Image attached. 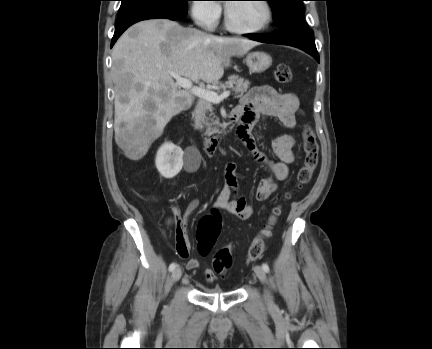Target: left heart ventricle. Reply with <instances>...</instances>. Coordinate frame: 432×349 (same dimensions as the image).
<instances>
[{
  "instance_id": "b2bd125f",
  "label": "left heart ventricle",
  "mask_w": 432,
  "mask_h": 349,
  "mask_svg": "<svg viewBox=\"0 0 432 349\" xmlns=\"http://www.w3.org/2000/svg\"><path fill=\"white\" fill-rule=\"evenodd\" d=\"M231 22L234 26L251 29L260 26L266 18L263 4L256 2H234L227 4Z\"/></svg>"
}]
</instances>
